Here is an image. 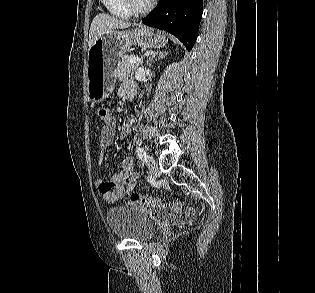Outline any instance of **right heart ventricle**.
I'll use <instances>...</instances> for the list:
<instances>
[{
    "label": "right heart ventricle",
    "mask_w": 315,
    "mask_h": 293,
    "mask_svg": "<svg viewBox=\"0 0 315 293\" xmlns=\"http://www.w3.org/2000/svg\"><path fill=\"white\" fill-rule=\"evenodd\" d=\"M109 15L118 19H127L132 13L125 7L123 0H101Z\"/></svg>",
    "instance_id": "1"
}]
</instances>
